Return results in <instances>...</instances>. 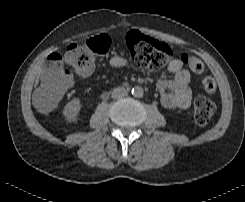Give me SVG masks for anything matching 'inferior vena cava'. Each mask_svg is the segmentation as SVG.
Masks as SVG:
<instances>
[{
  "label": "inferior vena cava",
  "mask_w": 245,
  "mask_h": 202,
  "mask_svg": "<svg viewBox=\"0 0 245 202\" xmlns=\"http://www.w3.org/2000/svg\"><path fill=\"white\" fill-rule=\"evenodd\" d=\"M127 94H128V92L126 91L125 88L118 87V88L113 89L112 98H114V99L123 98V97L127 96Z\"/></svg>",
  "instance_id": "1"
}]
</instances>
